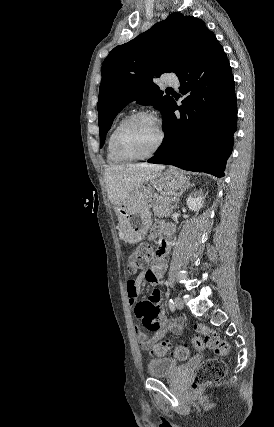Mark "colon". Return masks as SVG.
<instances>
[{
  "instance_id": "obj_1",
  "label": "colon",
  "mask_w": 274,
  "mask_h": 427,
  "mask_svg": "<svg viewBox=\"0 0 274 427\" xmlns=\"http://www.w3.org/2000/svg\"><path fill=\"white\" fill-rule=\"evenodd\" d=\"M157 252L150 244H142L135 249L127 260V271L129 273H137L142 268L149 264L153 256ZM155 292V290L153 291ZM196 332L194 341L198 348H208L216 355L226 356L229 354V345L224 341L217 332L211 328L203 325H196L194 327ZM170 352L172 356L179 360H186L190 356L189 348L186 346L175 345L169 341H158L157 347L151 348V355L156 356L157 359H164ZM227 373L226 364L217 358H209L201 362L195 371L193 380L191 381V388L204 389L210 384L222 381Z\"/></svg>"
}]
</instances>
